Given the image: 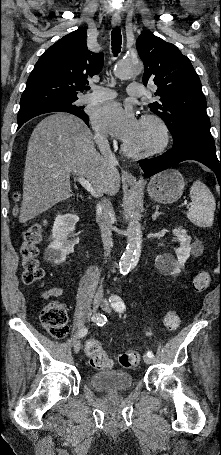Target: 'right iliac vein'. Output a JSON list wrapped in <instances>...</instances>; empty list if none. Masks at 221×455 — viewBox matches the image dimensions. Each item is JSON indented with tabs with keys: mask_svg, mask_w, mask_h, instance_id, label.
Segmentation results:
<instances>
[{
	"mask_svg": "<svg viewBox=\"0 0 221 455\" xmlns=\"http://www.w3.org/2000/svg\"><path fill=\"white\" fill-rule=\"evenodd\" d=\"M103 302V298L99 295H96L93 299V308L94 309H97L100 304ZM80 348H81V343L79 340L75 341L74 343V352L75 353H78L80 351Z\"/></svg>",
	"mask_w": 221,
	"mask_h": 455,
	"instance_id": "obj_1",
	"label": "right iliac vein"
}]
</instances>
